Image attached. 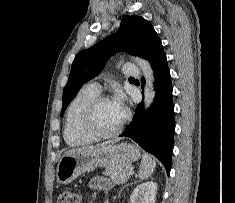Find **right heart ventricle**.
<instances>
[{
    "instance_id": "obj_1",
    "label": "right heart ventricle",
    "mask_w": 235,
    "mask_h": 203,
    "mask_svg": "<svg viewBox=\"0 0 235 203\" xmlns=\"http://www.w3.org/2000/svg\"><path fill=\"white\" fill-rule=\"evenodd\" d=\"M97 95H99V91L87 85L70 102L63 130V136L68 145L80 146L89 144L95 140L94 137L83 130L82 117L88 103Z\"/></svg>"
}]
</instances>
